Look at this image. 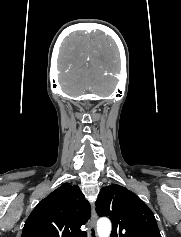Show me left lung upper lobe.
<instances>
[{
  "mask_svg": "<svg viewBox=\"0 0 181 237\" xmlns=\"http://www.w3.org/2000/svg\"><path fill=\"white\" fill-rule=\"evenodd\" d=\"M96 211L112 221L111 237H161L150 208L123 186L103 187L96 201Z\"/></svg>",
  "mask_w": 181,
  "mask_h": 237,
  "instance_id": "5c2ea615",
  "label": "left lung upper lobe"
}]
</instances>
